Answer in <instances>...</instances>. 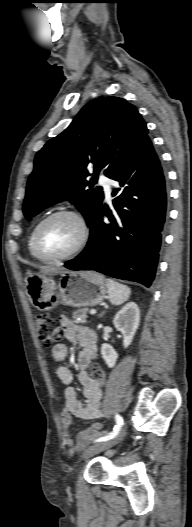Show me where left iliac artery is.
Here are the masks:
<instances>
[{
  "instance_id": "1",
  "label": "left iliac artery",
  "mask_w": 192,
  "mask_h": 527,
  "mask_svg": "<svg viewBox=\"0 0 192 527\" xmlns=\"http://www.w3.org/2000/svg\"><path fill=\"white\" fill-rule=\"evenodd\" d=\"M115 421H116V425H115L113 431L110 432L108 435H105L103 437H100V438L96 439L95 442H102V441L110 440V439L114 438L118 434V432L120 431L121 427L123 426V419H122V417L119 414H116L115 415Z\"/></svg>"
}]
</instances>
